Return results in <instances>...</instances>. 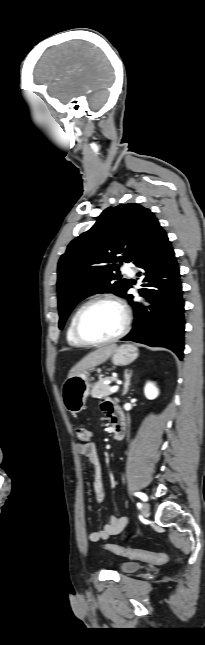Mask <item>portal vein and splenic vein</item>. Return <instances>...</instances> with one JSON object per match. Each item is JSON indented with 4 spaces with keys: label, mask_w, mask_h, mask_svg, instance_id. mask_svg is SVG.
Here are the masks:
<instances>
[{
    "label": "portal vein and splenic vein",
    "mask_w": 205,
    "mask_h": 645,
    "mask_svg": "<svg viewBox=\"0 0 205 645\" xmlns=\"http://www.w3.org/2000/svg\"><path fill=\"white\" fill-rule=\"evenodd\" d=\"M118 389H119V386H118V385L112 386V387H111V389H110V392H111V393H115V392H117V391H118Z\"/></svg>",
    "instance_id": "18ae733b"
}]
</instances>
